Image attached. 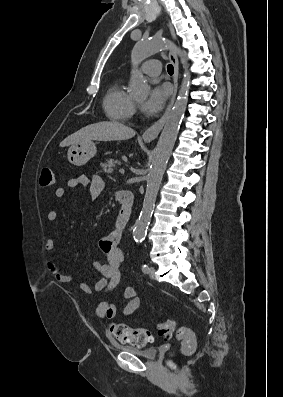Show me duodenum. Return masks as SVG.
Segmentation results:
<instances>
[{"mask_svg":"<svg viewBox=\"0 0 283 397\" xmlns=\"http://www.w3.org/2000/svg\"><path fill=\"white\" fill-rule=\"evenodd\" d=\"M117 199L120 203V211L116 219V225L119 229H123L130 221L134 204V196L130 191H120L117 195Z\"/></svg>","mask_w":283,"mask_h":397,"instance_id":"410a0bca","label":"duodenum"}]
</instances>
